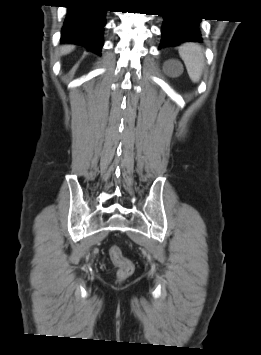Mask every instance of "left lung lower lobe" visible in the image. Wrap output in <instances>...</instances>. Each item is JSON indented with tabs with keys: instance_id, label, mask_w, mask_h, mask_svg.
Returning <instances> with one entry per match:
<instances>
[{
	"instance_id": "left-lung-lower-lobe-1",
	"label": "left lung lower lobe",
	"mask_w": 261,
	"mask_h": 355,
	"mask_svg": "<svg viewBox=\"0 0 261 355\" xmlns=\"http://www.w3.org/2000/svg\"><path fill=\"white\" fill-rule=\"evenodd\" d=\"M160 47H173L184 42L202 40L200 19L196 17L163 15Z\"/></svg>"
}]
</instances>
